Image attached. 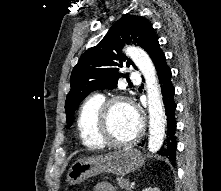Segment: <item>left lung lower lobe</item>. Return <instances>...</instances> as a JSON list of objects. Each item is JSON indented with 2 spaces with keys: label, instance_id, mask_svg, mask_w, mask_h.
<instances>
[{
  "label": "left lung lower lobe",
  "instance_id": "obj_1",
  "mask_svg": "<svg viewBox=\"0 0 221 191\" xmlns=\"http://www.w3.org/2000/svg\"><path fill=\"white\" fill-rule=\"evenodd\" d=\"M152 61L154 62L157 74L159 76V83L161 84V92L163 95V102L165 106V114L167 117V131L166 137L163 141L158 153L169 159L171 162L176 160V148L177 140L175 136L176 132V120L175 110L176 103L174 101V87L171 83V70L166 64V58L163 51L160 48L158 39H154L149 50Z\"/></svg>",
  "mask_w": 221,
  "mask_h": 191
}]
</instances>
